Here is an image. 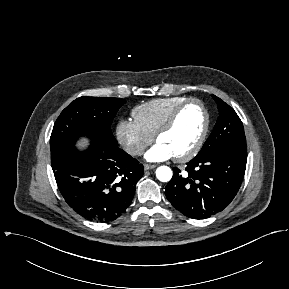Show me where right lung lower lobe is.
I'll return each instance as SVG.
<instances>
[{
	"instance_id": "obj_1",
	"label": "right lung lower lobe",
	"mask_w": 289,
	"mask_h": 289,
	"mask_svg": "<svg viewBox=\"0 0 289 289\" xmlns=\"http://www.w3.org/2000/svg\"><path fill=\"white\" fill-rule=\"evenodd\" d=\"M52 169L67 204L96 222L113 221L122 215L144 173L136 159L100 141H93L85 152H66Z\"/></svg>"
}]
</instances>
